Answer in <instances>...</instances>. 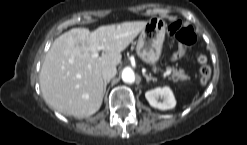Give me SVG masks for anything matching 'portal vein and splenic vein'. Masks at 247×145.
<instances>
[{
    "label": "portal vein and splenic vein",
    "mask_w": 247,
    "mask_h": 145,
    "mask_svg": "<svg viewBox=\"0 0 247 145\" xmlns=\"http://www.w3.org/2000/svg\"><path fill=\"white\" fill-rule=\"evenodd\" d=\"M101 50V47H98L97 50H95L92 54L91 57L92 58H97L99 56V51Z\"/></svg>",
    "instance_id": "1"
}]
</instances>
